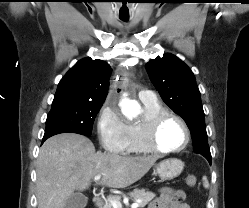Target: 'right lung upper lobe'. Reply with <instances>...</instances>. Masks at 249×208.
<instances>
[{
    "instance_id": "right-lung-upper-lobe-1",
    "label": "right lung upper lobe",
    "mask_w": 249,
    "mask_h": 208,
    "mask_svg": "<svg viewBox=\"0 0 249 208\" xmlns=\"http://www.w3.org/2000/svg\"><path fill=\"white\" fill-rule=\"evenodd\" d=\"M110 65L102 60L84 58L61 79L52 106L76 103H103L107 96Z\"/></svg>"
}]
</instances>
